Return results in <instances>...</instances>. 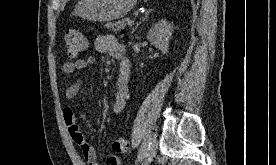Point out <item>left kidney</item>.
Wrapping results in <instances>:
<instances>
[{
  "label": "left kidney",
  "instance_id": "obj_1",
  "mask_svg": "<svg viewBox=\"0 0 276 165\" xmlns=\"http://www.w3.org/2000/svg\"><path fill=\"white\" fill-rule=\"evenodd\" d=\"M172 35V25L167 20H161L149 30L147 38L150 43L166 54L169 49V40Z\"/></svg>",
  "mask_w": 276,
  "mask_h": 165
}]
</instances>
